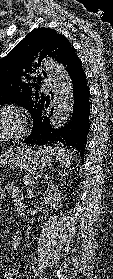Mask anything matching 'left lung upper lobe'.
<instances>
[{
  "instance_id": "1",
  "label": "left lung upper lobe",
  "mask_w": 113,
  "mask_h": 279,
  "mask_svg": "<svg viewBox=\"0 0 113 279\" xmlns=\"http://www.w3.org/2000/svg\"><path fill=\"white\" fill-rule=\"evenodd\" d=\"M71 50L74 48L64 35L44 27L32 30L0 60V105L16 103L33 117L35 106L45 97L38 71L42 58L48 56L63 63Z\"/></svg>"
}]
</instances>
